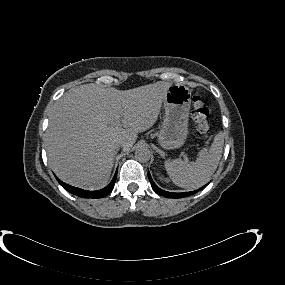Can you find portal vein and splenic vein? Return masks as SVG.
<instances>
[{
    "mask_svg": "<svg viewBox=\"0 0 285 285\" xmlns=\"http://www.w3.org/2000/svg\"><path fill=\"white\" fill-rule=\"evenodd\" d=\"M117 125H120V123L117 122ZM183 158H184V160H185L186 162L189 161V158L187 157V155H186L185 153L183 154Z\"/></svg>",
    "mask_w": 285,
    "mask_h": 285,
    "instance_id": "1",
    "label": "portal vein and splenic vein"
}]
</instances>
